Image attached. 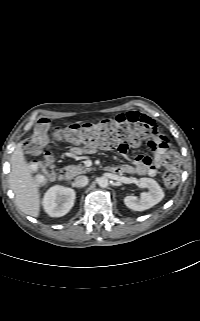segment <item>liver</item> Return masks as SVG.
Masks as SVG:
<instances>
[{"label": "liver", "instance_id": "6515ba94", "mask_svg": "<svg viewBox=\"0 0 200 321\" xmlns=\"http://www.w3.org/2000/svg\"><path fill=\"white\" fill-rule=\"evenodd\" d=\"M22 145V142L18 143L11 156L9 185L15 195V203L19 210L24 214L38 217L41 205L40 192L38 183L25 160Z\"/></svg>", "mask_w": 200, "mask_h": 321}]
</instances>
